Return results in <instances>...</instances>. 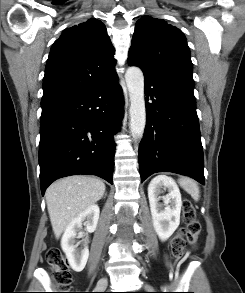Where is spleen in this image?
<instances>
[{"mask_svg":"<svg viewBox=\"0 0 245 293\" xmlns=\"http://www.w3.org/2000/svg\"><path fill=\"white\" fill-rule=\"evenodd\" d=\"M178 183L195 201L199 200L200 190L198 184L193 179L183 177L178 180Z\"/></svg>","mask_w":245,"mask_h":293,"instance_id":"spleen-1","label":"spleen"}]
</instances>
